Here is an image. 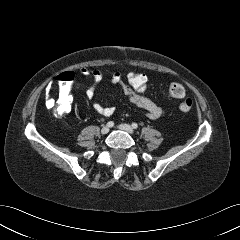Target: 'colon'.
Returning <instances> with one entry per match:
<instances>
[{"mask_svg":"<svg viewBox=\"0 0 240 240\" xmlns=\"http://www.w3.org/2000/svg\"><path fill=\"white\" fill-rule=\"evenodd\" d=\"M72 80V73H64L58 79V95L55 100H52V106H55V113L59 116L66 114L71 108L69 87ZM125 80L127 85L137 94L145 95L149 88L147 75L137 69L128 71ZM164 96L168 99H179V108L184 112L190 111L194 104L191 98L185 97L184 87L178 82L169 83L164 89Z\"/></svg>","mask_w":240,"mask_h":240,"instance_id":"obj_1","label":"colon"}]
</instances>
